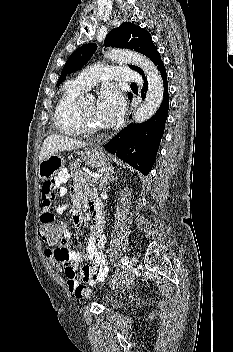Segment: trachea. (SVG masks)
Returning a JSON list of instances; mask_svg holds the SVG:
<instances>
[{"mask_svg": "<svg viewBox=\"0 0 233 352\" xmlns=\"http://www.w3.org/2000/svg\"><path fill=\"white\" fill-rule=\"evenodd\" d=\"M131 85H136V83H131Z\"/></svg>", "mask_w": 233, "mask_h": 352, "instance_id": "trachea-1", "label": "trachea"}]
</instances>
